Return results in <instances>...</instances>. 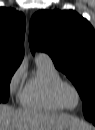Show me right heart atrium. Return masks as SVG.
I'll return each mask as SVG.
<instances>
[{
	"instance_id": "d8ad5b80",
	"label": "right heart atrium",
	"mask_w": 95,
	"mask_h": 130,
	"mask_svg": "<svg viewBox=\"0 0 95 130\" xmlns=\"http://www.w3.org/2000/svg\"><path fill=\"white\" fill-rule=\"evenodd\" d=\"M25 69L23 65L18 66L9 79V91L14 94L20 88L22 80L24 78Z\"/></svg>"
}]
</instances>
